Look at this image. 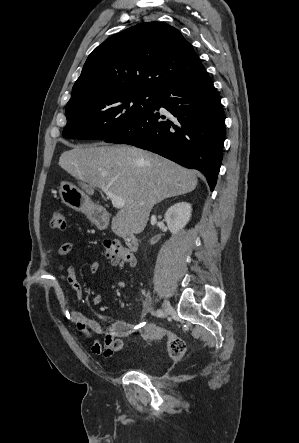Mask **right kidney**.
I'll return each instance as SVG.
<instances>
[{
  "label": "right kidney",
  "instance_id": "ca27d5eb",
  "mask_svg": "<svg viewBox=\"0 0 299 443\" xmlns=\"http://www.w3.org/2000/svg\"><path fill=\"white\" fill-rule=\"evenodd\" d=\"M191 205L187 202L174 204L165 213V221L172 234H177L189 222L191 217Z\"/></svg>",
  "mask_w": 299,
  "mask_h": 443
}]
</instances>
